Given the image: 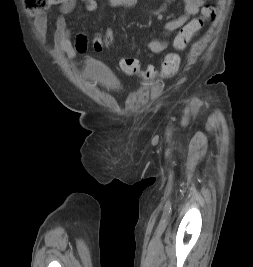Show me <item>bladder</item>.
<instances>
[{
  "label": "bladder",
  "mask_w": 253,
  "mask_h": 267,
  "mask_svg": "<svg viewBox=\"0 0 253 267\" xmlns=\"http://www.w3.org/2000/svg\"><path fill=\"white\" fill-rule=\"evenodd\" d=\"M83 72L89 79L99 81L103 84L111 85L114 82L108 69L96 60H88Z\"/></svg>",
  "instance_id": "31cf9c89"
}]
</instances>
